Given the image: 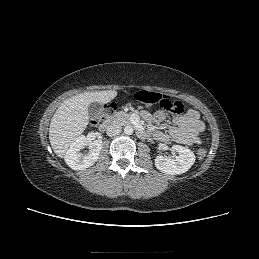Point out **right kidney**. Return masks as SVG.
<instances>
[{
    "mask_svg": "<svg viewBox=\"0 0 259 259\" xmlns=\"http://www.w3.org/2000/svg\"><path fill=\"white\" fill-rule=\"evenodd\" d=\"M85 146H89V152L83 155L81 150ZM102 146L103 143L100 140L89 141L84 135L78 136L70 144L65 155V161L73 170H84L98 160Z\"/></svg>",
    "mask_w": 259,
    "mask_h": 259,
    "instance_id": "obj_1",
    "label": "right kidney"
}]
</instances>
